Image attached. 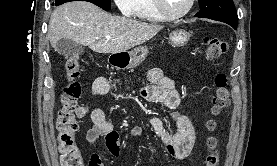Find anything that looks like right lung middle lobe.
Here are the masks:
<instances>
[{
	"mask_svg": "<svg viewBox=\"0 0 277 166\" xmlns=\"http://www.w3.org/2000/svg\"><path fill=\"white\" fill-rule=\"evenodd\" d=\"M69 1H74V0H56L55 5H61L63 3L69 2ZM84 1H88L91 2L99 7H101L104 10H110L111 8V4H110V0H84Z\"/></svg>",
	"mask_w": 277,
	"mask_h": 166,
	"instance_id": "obj_1",
	"label": "right lung middle lobe"
}]
</instances>
